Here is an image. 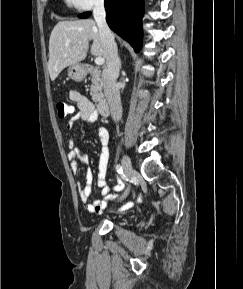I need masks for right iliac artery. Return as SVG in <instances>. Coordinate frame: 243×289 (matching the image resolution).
Here are the masks:
<instances>
[{
  "label": "right iliac artery",
  "mask_w": 243,
  "mask_h": 289,
  "mask_svg": "<svg viewBox=\"0 0 243 289\" xmlns=\"http://www.w3.org/2000/svg\"><path fill=\"white\" fill-rule=\"evenodd\" d=\"M116 171H117L119 174H122V173H123V169H122L121 165H119V164L116 165Z\"/></svg>",
  "instance_id": "right-iliac-artery-1"
}]
</instances>
